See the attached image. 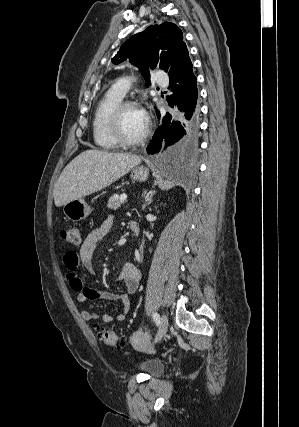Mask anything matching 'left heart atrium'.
Here are the masks:
<instances>
[{
    "label": "left heart atrium",
    "mask_w": 299,
    "mask_h": 427,
    "mask_svg": "<svg viewBox=\"0 0 299 427\" xmlns=\"http://www.w3.org/2000/svg\"><path fill=\"white\" fill-rule=\"evenodd\" d=\"M139 112H140V115H141L142 119H143V120H144V122L147 124L148 117H147L146 112H145L143 109H140V110H139Z\"/></svg>",
    "instance_id": "left-heart-atrium-1"
}]
</instances>
